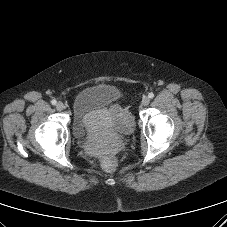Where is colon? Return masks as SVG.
Wrapping results in <instances>:
<instances>
[{"label":"colon","instance_id":"colon-1","mask_svg":"<svg viewBox=\"0 0 227 227\" xmlns=\"http://www.w3.org/2000/svg\"><path fill=\"white\" fill-rule=\"evenodd\" d=\"M102 166L104 169L112 171L117 168V161L111 151H107L104 154V157L102 159Z\"/></svg>","mask_w":227,"mask_h":227}]
</instances>
